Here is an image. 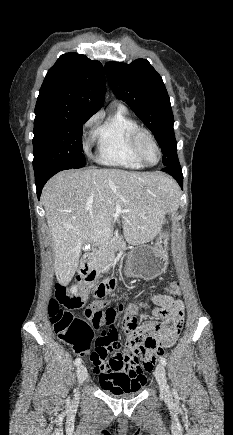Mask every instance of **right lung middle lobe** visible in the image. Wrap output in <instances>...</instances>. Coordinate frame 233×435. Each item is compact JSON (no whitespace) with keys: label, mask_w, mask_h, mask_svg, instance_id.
<instances>
[{"label":"right lung middle lobe","mask_w":233,"mask_h":435,"mask_svg":"<svg viewBox=\"0 0 233 435\" xmlns=\"http://www.w3.org/2000/svg\"><path fill=\"white\" fill-rule=\"evenodd\" d=\"M91 115L36 117L34 121V170L53 165L69 169L86 164L82 125Z\"/></svg>","instance_id":"1"}]
</instances>
